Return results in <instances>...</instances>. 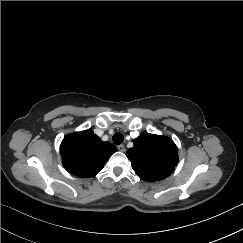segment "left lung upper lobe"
<instances>
[{"instance_id":"obj_1","label":"left lung upper lobe","mask_w":243,"mask_h":243,"mask_svg":"<svg viewBox=\"0 0 243 243\" xmlns=\"http://www.w3.org/2000/svg\"><path fill=\"white\" fill-rule=\"evenodd\" d=\"M133 143L134 146L127 151L126 156L141 179L158 181L174 171L178 150L170 138L144 132Z\"/></svg>"}]
</instances>
